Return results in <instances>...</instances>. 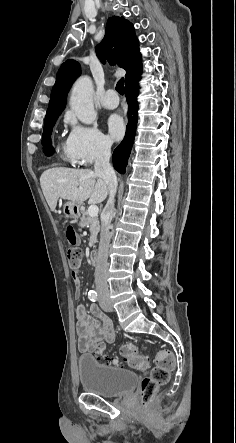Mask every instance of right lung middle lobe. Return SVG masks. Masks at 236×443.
Masks as SVG:
<instances>
[{"label": "right lung middle lobe", "mask_w": 236, "mask_h": 443, "mask_svg": "<svg viewBox=\"0 0 236 443\" xmlns=\"http://www.w3.org/2000/svg\"><path fill=\"white\" fill-rule=\"evenodd\" d=\"M58 116L59 115L52 117V118L46 120L44 123V130H43V137H42V144H44V151L52 148V146L50 145L51 144L50 136H51L52 128H53L54 124L56 123Z\"/></svg>", "instance_id": "right-lung-middle-lobe-1"}]
</instances>
